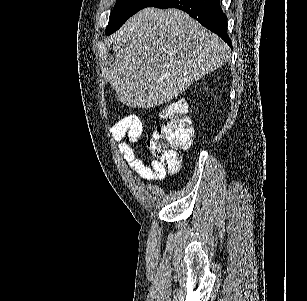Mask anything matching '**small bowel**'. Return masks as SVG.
<instances>
[{
    "mask_svg": "<svg viewBox=\"0 0 307 301\" xmlns=\"http://www.w3.org/2000/svg\"><path fill=\"white\" fill-rule=\"evenodd\" d=\"M143 134V124L137 116L126 117L111 128L112 138L118 142V149L124 160L142 179L153 181L165 176L161 163L153 159L150 164L138 157L136 144Z\"/></svg>",
    "mask_w": 307,
    "mask_h": 301,
    "instance_id": "c3829d8e",
    "label": "small bowel"
}]
</instances>
